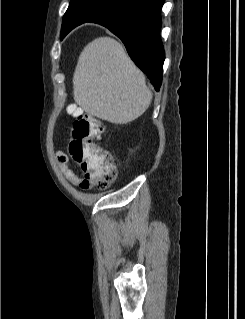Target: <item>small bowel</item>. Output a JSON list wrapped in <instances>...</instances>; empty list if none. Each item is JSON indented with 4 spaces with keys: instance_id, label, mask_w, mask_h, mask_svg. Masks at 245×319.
Wrapping results in <instances>:
<instances>
[{
    "instance_id": "1",
    "label": "small bowel",
    "mask_w": 245,
    "mask_h": 319,
    "mask_svg": "<svg viewBox=\"0 0 245 319\" xmlns=\"http://www.w3.org/2000/svg\"><path fill=\"white\" fill-rule=\"evenodd\" d=\"M56 162L60 171L71 183L78 185L81 182V177L71 168L67 156L61 150L56 152Z\"/></svg>"
}]
</instances>
